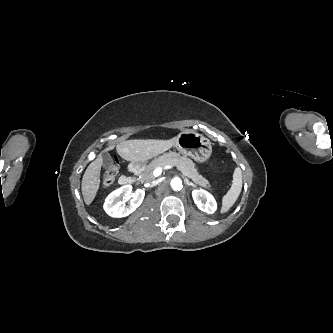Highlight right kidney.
Wrapping results in <instances>:
<instances>
[{
    "label": "right kidney",
    "mask_w": 333,
    "mask_h": 333,
    "mask_svg": "<svg viewBox=\"0 0 333 333\" xmlns=\"http://www.w3.org/2000/svg\"><path fill=\"white\" fill-rule=\"evenodd\" d=\"M145 191L137 189L132 193V186L125 185L113 192H111L104 202V210L111 217H125L131 214L138 208L143 202ZM120 197L131 198L129 205L125 206L121 201H118Z\"/></svg>",
    "instance_id": "1"
}]
</instances>
